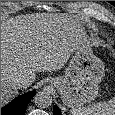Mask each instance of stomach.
Here are the masks:
<instances>
[{
	"mask_svg": "<svg viewBox=\"0 0 115 115\" xmlns=\"http://www.w3.org/2000/svg\"><path fill=\"white\" fill-rule=\"evenodd\" d=\"M104 76V63L95 56L91 41L84 33L65 74L61 77L52 78L49 82L57 89L66 106L80 108L96 98L99 83Z\"/></svg>",
	"mask_w": 115,
	"mask_h": 115,
	"instance_id": "obj_1",
	"label": "stomach"
}]
</instances>
